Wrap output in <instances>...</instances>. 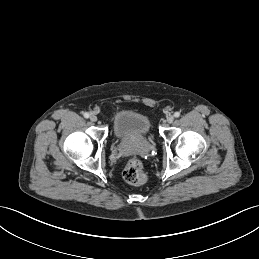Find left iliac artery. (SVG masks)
Masks as SVG:
<instances>
[{
    "instance_id": "obj_1",
    "label": "left iliac artery",
    "mask_w": 259,
    "mask_h": 259,
    "mask_svg": "<svg viewBox=\"0 0 259 259\" xmlns=\"http://www.w3.org/2000/svg\"><path fill=\"white\" fill-rule=\"evenodd\" d=\"M180 116V112H175L174 117L178 118Z\"/></svg>"
}]
</instances>
